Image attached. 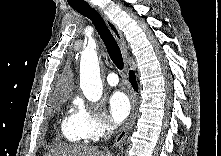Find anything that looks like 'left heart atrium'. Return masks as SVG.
Wrapping results in <instances>:
<instances>
[{
    "mask_svg": "<svg viewBox=\"0 0 221 156\" xmlns=\"http://www.w3.org/2000/svg\"><path fill=\"white\" fill-rule=\"evenodd\" d=\"M109 110L116 124L123 122L131 110V103L127 95L121 91L114 92L109 99Z\"/></svg>",
    "mask_w": 221,
    "mask_h": 156,
    "instance_id": "1",
    "label": "left heart atrium"
}]
</instances>
